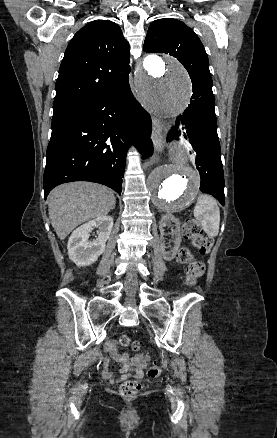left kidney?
<instances>
[{"label":"left kidney","mask_w":277,"mask_h":438,"mask_svg":"<svg viewBox=\"0 0 277 438\" xmlns=\"http://www.w3.org/2000/svg\"><path fill=\"white\" fill-rule=\"evenodd\" d=\"M166 222H174V224H176V226H177V230H175V232H172V234H175V236H176V238L174 240L175 246L173 248L172 254H169V252H165L164 246H162V254H163L164 260H166V262H171V260H173V258H175L176 254H177V250L181 244L180 222H179V220H177V218H175V216H173V214H170V212H167V214H164V216H162V218L159 222V230H160V234H161L160 240H164L163 228H164V226H166Z\"/></svg>","instance_id":"left-kidney-1"}]
</instances>
